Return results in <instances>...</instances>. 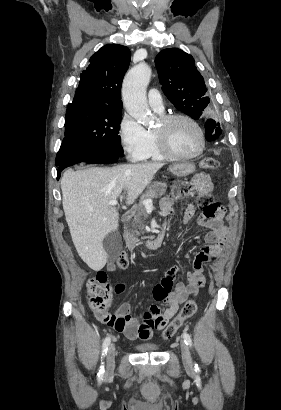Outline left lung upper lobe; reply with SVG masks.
Segmentation results:
<instances>
[{
	"mask_svg": "<svg viewBox=\"0 0 281 410\" xmlns=\"http://www.w3.org/2000/svg\"><path fill=\"white\" fill-rule=\"evenodd\" d=\"M155 62L162 90L169 101L193 119L206 118L210 99L193 57L180 49L169 48L162 50ZM220 133L219 129L214 135Z\"/></svg>",
	"mask_w": 281,
	"mask_h": 410,
	"instance_id": "left-lung-upper-lobe-1",
	"label": "left lung upper lobe"
}]
</instances>
